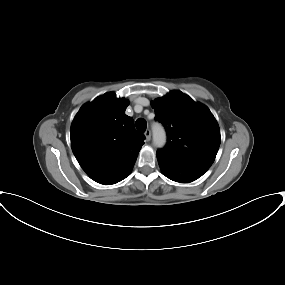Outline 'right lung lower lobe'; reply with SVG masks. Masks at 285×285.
I'll use <instances>...</instances> for the list:
<instances>
[{
  "label": "right lung lower lobe",
  "instance_id": "obj_1",
  "mask_svg": "<svg viewBox=\"0 0 285 285\" xmlns=\"http://www.w3.org/2000/svg\"><path fill=\"white\" fill-rule=\"evenodd\" d=\"M132 170V169H131ZM131 170L130 171H128L121 179H119L117 182H119V181H121V180H123L124 178H126L128 175H129V173L131 172ZM116 182V183H117Z\"/></svg>",
  "mask_w": 285,
  "mask_h": 285
}]
</instances>
